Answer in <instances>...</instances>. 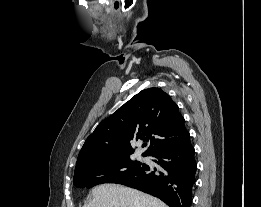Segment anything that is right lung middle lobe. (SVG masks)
I'll return each instance as SVG.
<instances>
[{"label": "right lung middle lobe", "instance_id": "dd1d6c3e", "mask_svg": "<svg viewBox=\"0 0 261 207\" xmlns=\"http://www.w3.org/2000/svg\"><path fill=\"white\" fill-rule=\"evenodd\" d=\"M145 166L139 161H132L130 155L104 158L76 168L73 184L78 188H90L102 183H119Z\"/></svg>", "mask_w": 261, "mask_h": 207}]
</instances>
